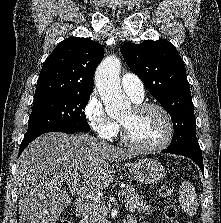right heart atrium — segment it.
Listing matches in <instances>:
<instances>
[{
	"label": "right heart atrium",
	"instance_id": "obj_1",
	"mask_svg": "<svg viewBox=\"0 0 221 223\" xmlns=\"http://www.w3.org/2000/svg\"><path fill=\"white\" fill-rule=\"evenodd\" d=\"M83 113L89 126L100 138L111 140L117 135V122L108 117L101 99L95 93L89 95Z\"/></svg>",
	"mask_w": 221,
	"mask_h": 223
}]
</instances>
